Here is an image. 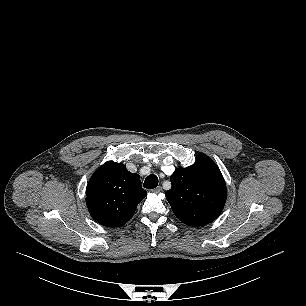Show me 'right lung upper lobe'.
<instances>
[{
	"label": "right lung upper lobe",
	"instance_id": "1",
	"mask_svg": "<svg viewBox=\"0 0 306 306\" xmlns=\"http://www.w3.org/2000/svg\"><path fill=\"white\" fill-rule=\"evenodd\" d=\"M147 193L138 174L125 165L108 161L91 176L86 188V204L92 218L106 227L123 226Z\"/></svg>",
	"mask_w": 306,
	"mask_h": 306
}]
</instances>
